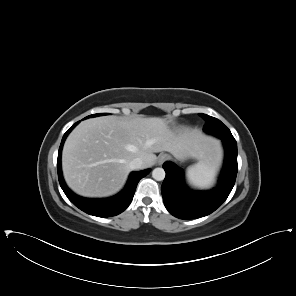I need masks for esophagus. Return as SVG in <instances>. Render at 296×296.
I'll list each match as a JSON object with an SVG mask.
<instances>
[{
  "label": "esophagus",
  "mask_w": 296,
  "mask_h": 296,
  "mask_svg": "<svg viewBox=\"0 0 296 296\" xmlns=\"http://www.w3.org/2000/svg\"><path fill=\"white\" fill-rule=\"evenodd\" d=\"M167 159H168V155L167 154H161V155L158 156L157 162H158L159 165H161Z\"/></svg>",
  "instance_id": "34e87169"
}]
</instances>
